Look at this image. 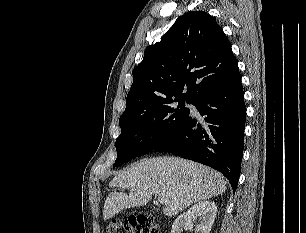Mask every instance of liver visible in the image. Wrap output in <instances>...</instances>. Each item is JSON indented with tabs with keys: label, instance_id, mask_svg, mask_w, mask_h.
I'll return each mask as SVG.
<instances>
[{
	"label": "liver",
	"instance_id": "1",
	"mask_svg": "<svg viewBox=\"0 0 306 233\" xmlns=\"http://www.w3.org/2000/svg\"><path fill=\"white\" fill-rule=\"evenodd\" d=\"M113 191L105 200L103 219L120 211L146 205L152 195L168 199L163 213L175 216L193 203L220 195L226 190L224 177L217 171L178 157L144 159L115 176ZM129 189L130 194L116 192Z\"/></svg>",
	"mask_w": 306,
	"mask_h": 233
}]
</instances>
